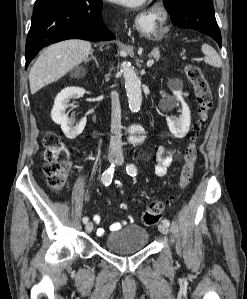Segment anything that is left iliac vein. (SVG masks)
Returning <instances> with one entry per match:
<instances>
[{"label": "left iliac vein", "mask_w": 247, "mask_h": 299, "mask_svg": "<svg viewBox=\"0 0 247 299\" xmlns=\"http://www.w3.org/2000/svg\"><path fill=\"white\" fill-rule=\"evenodd\" d=\"M122 163V158H120V164ZM158 230L162 233V234H167L168 233V226H166L165 224H159L158 225Z\"/></svg>", "instance_id": "obj_1"}]
</instances>
